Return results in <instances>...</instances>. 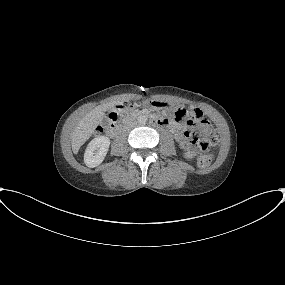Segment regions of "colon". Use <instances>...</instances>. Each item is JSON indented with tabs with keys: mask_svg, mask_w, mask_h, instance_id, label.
I'll return each mask as SVG.
<instances>
[{
	"mask_svg": "<svg viewBox=\"0 0 285 285\" xmlns=\"http://www.w3.org/2000/svg\"><path fill=\"white\" fill-rule=\"evenodd\" d=\"M127 106L126 103H120L116 106V110H121ZM111 117L115 119L117 113L113 111ZM174 119L177 121L194 120L203 124H208V121L202 116L196 114L195 110L178 108L174 112ZM186 139L190 145H193L200 151L198 157V165L200 168H208L212 162L213 156L209 152L210 144H214L217 141V134L215 131H210L208 137H200L195 128H191L186 132Z\"/></svg>",
	"mask_w": 285,
	"mask_h": 285,
	"instance_id": "obj_1",
	"label": "colon"
}]
</instances>
